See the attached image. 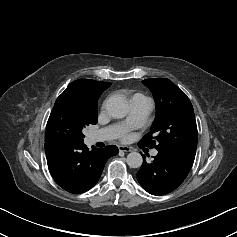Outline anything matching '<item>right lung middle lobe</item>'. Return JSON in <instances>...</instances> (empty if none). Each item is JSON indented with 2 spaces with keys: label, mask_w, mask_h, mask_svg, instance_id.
Here are the masks:
<instances>
[{
  "label": "right lung middle lobe",
  "mask_w": 237,
  "mask_h": 237,
  "mask_svg": "<svg viewBox=\"0 0 237 237\" xmlns=\"http://www.w3.org/2000/svg\"><path fill=\"white\" fill-rule=\"evenodd\" d=\"M96 123L97 109H88L82 103L60 95L47 122L45 141L82 143L83 128Z\"/></svg>",
  "instance_id": "dd1d6c3e"
}]
</instances>
